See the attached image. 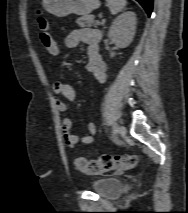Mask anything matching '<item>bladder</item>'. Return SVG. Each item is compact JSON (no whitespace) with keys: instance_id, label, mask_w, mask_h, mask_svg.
Masks as SVG:
<instances>
[{"instance_id":"obj_1","label":"bladder","mask_w":188,"mask_h":213,"mask_svg":"<svg viewBox=\"0 0 188 213\" xmlns=\"http://www.w3.org/2000/svg\"><path fill=\"white\" fill-rule=\"evenodd\" d=\"M92 190L104 198H115L124 190V182L115 177H102L91 182Z\"/></svg>"}]
</instances>
